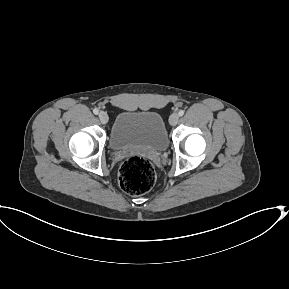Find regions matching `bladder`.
<instances>
[{
	"label": "bladder",
	"mask_w": 289,
	"mask_h": 289,
	"mask_svg": "<svg viewBox=\"0 0 289 289\" xmlns=\"http://www.w3.org/2000/svg\"><path fill=\"white\" fill-rule=\"evenodd\" d=\"M109 145L114 151L139 149L159 153L168 147V135L160 114L154 111H123L113 123Z\"/></svg>",
	"instance_id": "bladder-1"
}]
</instances>
